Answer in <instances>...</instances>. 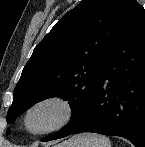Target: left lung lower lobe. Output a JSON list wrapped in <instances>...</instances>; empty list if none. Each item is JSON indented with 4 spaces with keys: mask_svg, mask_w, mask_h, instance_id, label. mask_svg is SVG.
Segmentation results:
<instances>
[{
    "mask_svg": "<svg viewBox=\"0 0 145 147\" xmlns=\"http://www.w3.org/2000/svg\"><path fill=\"white\" fill-rule=\"evenodd\" d=\"M82 132L121 136L145 147V10L135 0L79 125L42 141Z\"/></svg>",
    "mask_w": 145,
    "mask_h": 147,
    "instance_id": "left-lung-lower-lobe-1",
    "label": "left lung lower lobe"
}]
</instances>
